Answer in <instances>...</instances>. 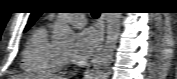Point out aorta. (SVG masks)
<instances>
[{
  "label": "aorta",
  "instance_id": "1",
  "mask_svg": "<svg viewBox=\"0 0 177 79\" xmlns=\"http://www.w3.org/2000/svg\"><path fill=\"white\" fill-rule=\"evenodd\" d=\"M61 16H58L53 29L54 42L61 45H68L74 40V32L66 24L61 22ZM106 40L102 53L99 56L96 71L93 79H108L111 72L114 51L118 42L121 13H106Z\"/></svg>",
  "mask_w": 177,
  "mask_h": 79
}]
</instances>
